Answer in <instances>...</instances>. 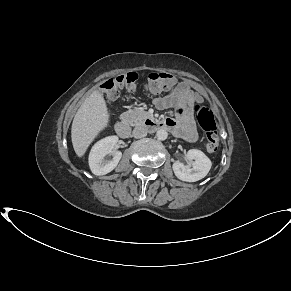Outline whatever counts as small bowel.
Listing matches in <instances>:
<instances>
[{"mask_svg":"<svg viewBox=\"0 0 291 291\" xmlns=\"http://www.w3.org/2000/svg\"><path fill=\"white\" fill-rule=\"evenodd\" d=\"M199 97L194 93L193 87L189 82L183 81L167 95L155 99L158 109L173 108L177 113V118H167L165 123L167 129L175 135L188 142H196L198 134L191 112V106Z\"/></svg>","mask_w":291,"mask_h":291,"instance_id":"obj_1","label":"small bowel"}]
</instances>
